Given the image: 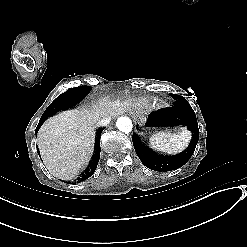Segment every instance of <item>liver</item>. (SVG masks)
<instances>
[{"instance_id":"obj_1","label":"liver","mask_w":247,"mask_h":247,"mask_svg":"<svg viewBox=\"0 0 247 247\" xmlns=\"http://www.w3.org/2000/svg\"><path fill=\"white\" fill-rule=\"evenodd\" d=\"M108 101L92 111L83 108L63 112L48 119L38 133V146L44 165L56 178L71 180L93 149L96 122L114 114Z\"/></svg>"}]
</instances>
